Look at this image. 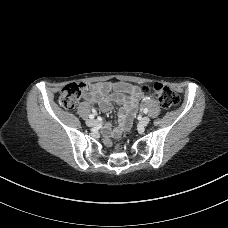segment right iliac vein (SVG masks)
Returning a JSON list of instances; mask_svg holds the SVG:
<instances>
[{
	"instance_id": "63e3f726",
	"label": "right iliac vein",
	"mask_w": 228,
	"mask_h": 228,
	"mask_svg": "<svg viewBox=\"0 0 228 228\" xmlns=\"http://www.w3.org/2000/svg\"><path fill=\"white\" fill-rule=\"evenodd\" d=\"M86 124H87L88 126L92 127V126H95V125L97 124V121L94 120V119H88V120L86 121Z\"/></svg>"
}]
</instances>
